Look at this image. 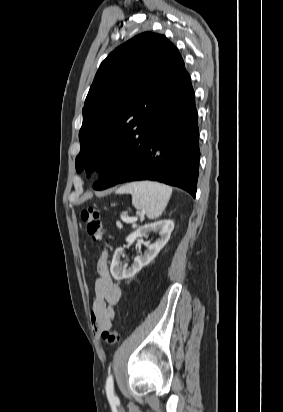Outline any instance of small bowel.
Listing matches in <instances>:
<instances>
[{
    "instance_id": "small-bowel-1",
    "label": "small bowel",
    "mask_w": 283,
    "mask_h": 412,
    "mask_svg": "<svg viewBox=\"0 0 283 412\" xmlns=\"http://www.w3.org/2000/svg\"><path fill=\"white\" fill-rule=\"evenodd\" d=\"M97 272L90 321L94 335L99 338L103 330L111 327L113 307L120 300L122 293L109 273L106 253H103L98 261Z\"/></svg>"
}]
</instances>
